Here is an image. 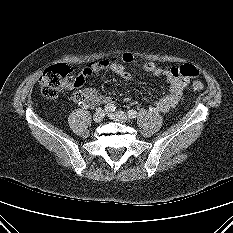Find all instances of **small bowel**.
<instances>
[{
  "label": "small bowel",
  "instance_id": "1",
  "mask_svg": "<svg viewBox=\"0 0 233 233\" xmlns=\"http://www.w3.org/2000/svg\"><path fill=\"white\" fill-rule=\"evenodd\" d=\"M134 57L130 53H123L112 58L104 59L99 62H94L85 67L77 77L74 86L81 88L82 101L88 106L96 104H115L116 99L113 96L103 95L97 89L89 86H84L86 79L93 74L104 72H112L124 80L130 81L133 79L132 73L127 66L133 63ZM143 70L155 77L165 79L168 83V92L159 98L154 105V108L161 112H166L174 108L179 102L184 89L188 85L189 79L181 78L174 75V68H163L155 62H145L142 66ZM128 101L129 99H125Z\"/></svg>",
  "mask_w": 233,
  "mask_h": 233
}]
</instances>
